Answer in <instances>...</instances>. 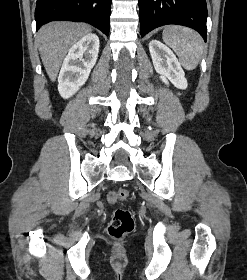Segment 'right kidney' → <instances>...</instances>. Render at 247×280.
<instances>
[{
  "label": "right kidney",
  "instance_id": "ca27d5eb",
  "mask_svg": "<svg viewBox=\"0 0 247 280\" xmlns=\"http://www.w3.org/2000/svg\"><path fill=\"white\" fill-rule=\"evenodd\" d=\"M98 52L99 38L94 33L85 35L70 48L58 77L61 97H71L85 84L97 61Z\"/></svg>",
  "mask_w": 247,
  "mask_h": 280
}]
</instances>
